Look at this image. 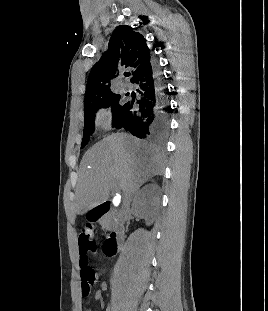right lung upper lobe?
<instances>
[{
	"mask_svg": "<svg viewBox=\"0 0 268 311\" xmlns=\"http://www.w3.org/2000/svg\"><path fill=\"white\" fill-rule=\"evenodd\" d=\"M150 50L146 39L127 25H120L109 41V47L90 71L85 99L84 112L101 100L114 94L111 80L115 77L118 67L130 68L134 80L151 63ZM118 75V73H117Z\"/></svg>",
	"mask_w": 268,
	"mask_h": 311,
	"instance_id": "cb5924a9",
	"label": "right lung upper lobe"
}]
</instances>
